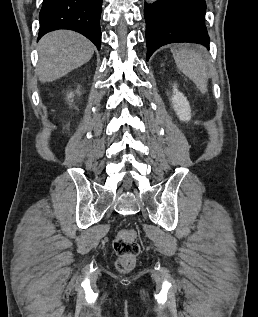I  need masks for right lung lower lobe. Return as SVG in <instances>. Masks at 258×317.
I'll list each match as a JSON object with an SVG mask.
<instances>
[{
	"label": "right lung lower lobe",
	"instance_id": "1",
	"mask_svg": "<svg viewBox=\"0 0 258 317\" xmlns=\"http://www.w3.org/2000/svg\"><path fill=\"white\" fill-rule=\"evenodd\" d=\"M102 0H44L40 14V39L44 34L69 29L90 39L100 50Z\"/></svg>",
	"mask_w": 258,
	"mask_h": 317
}]
</instances>
